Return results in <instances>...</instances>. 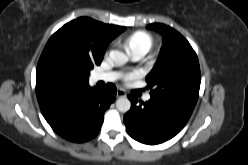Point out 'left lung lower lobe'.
<instances>
[{"label": "left lung lower lobe", "mask_w": 248, "mask_h": 165, "mask_svg": "<svg viewBox=\"0 0 248 165\" xmlns=\"http://www.w3.org/2000/svg\"><path fill=\"white\" fill-rule=\"evenodd\" d=\"M131 109L124 116L127 133L149 145L163 143L178 134L189 120L194 107L150 98L146 103L132 96Z\"/></svg>", "instance_id": "obj_1"}]
</instances>
